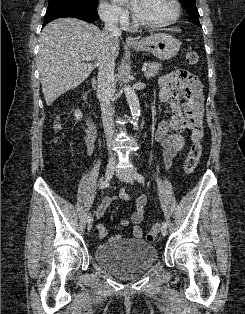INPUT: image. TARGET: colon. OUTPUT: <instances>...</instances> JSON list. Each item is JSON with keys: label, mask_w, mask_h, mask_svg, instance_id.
<instances>
[{"label": "colon", "mask_w": 245, "mask_h": 314, "mask_svg": "<svg viewBox=\"0 0 245 314\" xmlns=\"http://www.w3.org/2000/svg\"><path fill=\"white\" fill-rule=\"evenodd\" d=\"M186 61L190 65L197 64L199 62V54L195 51L188 52L186 55ZM55 127L56 129H60L61 122L57 121ZM201 155H202V145L200 142H195L191 146L189 153L184 162L185 173L190 174L195 170V168L197 167L200 161ZM160 227L161 226L159 223H155L152 225L150 231L146 234V237H145L148 242H152L155 239L158 232L160 231Z\"/></svg>", "instance_id": "1"}]
</instances>
